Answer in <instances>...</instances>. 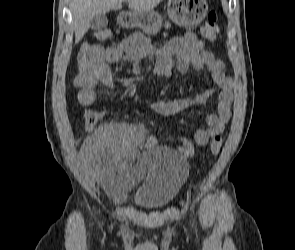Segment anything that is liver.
I'll return each instance as SVG.
<instances>
[{
  "instance_id": "1",
  "label": "liver",
  "mask_w": 295,
  "mask_h": 250,
  "mask_svg": "<svg viewBox=\"0 0 295 250\" xmlns=\"http://www.w3.org/2000/svg\"><path fill=\"white\" fill-rule=\"evenodd\" d=\"M163 0H71L75 42L78 43L90 27L91 19L99 14L122 9V2H128L134 11H146L156 7Z\"/></svg>"
}]
</instances>
